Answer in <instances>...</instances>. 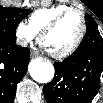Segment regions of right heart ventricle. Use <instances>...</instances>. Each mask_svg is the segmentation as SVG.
<instances>
[{"label": "right heart ventricle", "instance_id": "1", "mask_svg": "<svg viewBox=\"0 0 103 103\" xmlns=\"http://www.w3.org/2000/svg\"><path fill=\"white\" fill-rule=\"evenodd\" d=\"M70 8L67 4H57L34 11L29 17V24L40 33L43 28L58 14Z\"/></svg>", "mask_w": 103, "mask_h": 103}]
</instances>
